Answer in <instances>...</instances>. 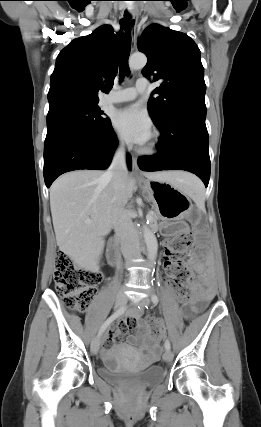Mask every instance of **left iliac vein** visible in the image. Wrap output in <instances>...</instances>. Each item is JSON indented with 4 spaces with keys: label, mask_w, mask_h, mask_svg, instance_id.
I'll use <instances>...</instances> for the list:
<instances>
[{
    "label": "left iliac vein",
    "mask_w": 261,
    "mask_h": 427,
    "mask_svg": "<svg viewBox=\"0 0 261 427\" xmlns=\"http://www.w3.org/2000/svg\"><path fill=\"white\" fill-rule=\"evenodd\" d=\"M149 303H150L149 298H143V299H140L137 304L141 309H144L146 305H149ZM163 359L166 362H171L173 359V353L170 350H166L165 353L163 354Z\"/></svg>",
    "instance_id": "left-iliac-vein-1"
}]
</instances>
